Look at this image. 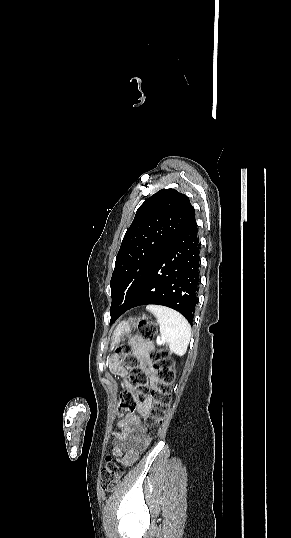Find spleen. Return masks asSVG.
<instances>
[{
  "instance_id": "1",
  "label": "spleen",
  "mask_w": 291,
  "mask_h": 538,
  "mask_svg": "<svg viewBox=\"0 0 291 538\" xmlns=\"http://www.w3.org/2000/svg\"><path fill=\"white\" fill-rule=\"evenodd\" d=\"M146 309L157 317L162 340L169 345L170 351L184 354L191 336L190 324L184 316L165 306L149 305Z\"/></svg>"
}]
</instances>
